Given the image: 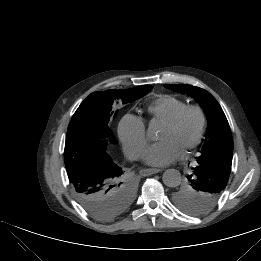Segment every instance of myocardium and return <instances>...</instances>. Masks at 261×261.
I'll return each mask as SVG.
<instances>
[{
  "label": "myocardium",
  "instance_id": "1",
  "mask_svg": "<svg viewBox=\"0 0 261 261\" xmlns=\"http://www.w3.org/2000/svg\"><path fill=\"white\" fill-rule=\"evenodd\" d=\"M189 112H195L197 114L199 118V125L194 138L184 146L183 151H188L195 148L199 145L203 138L206 127V114L203 108L197 104H187L166 121V124L171 127L178 126Z\"/></svg>",
  "mask_w": 261,
  "mask_h": 261
}]
</instances>
